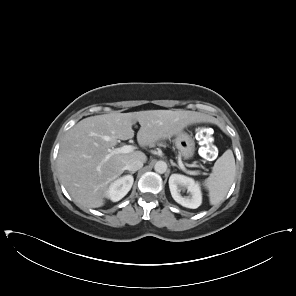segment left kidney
Segmentation results:
<instances>
[{
    "instance_id": "left-kidney-1",
    "label": "left kidney",
    "mask_w": 296,
    "mask_h": 296,
    "mask_svg": "<svg viewBox=\"0 0 296 296\" xmlns=\"http://www.w3.org/2000/svg\"><path fill=\"white\" fill-rule=\"evenodd\" d=\"M169 188L173 199L183 207L196 209L202 203L200 185L190 177L181 174H172L169 178ZM183 189H187L190 195L183 197L181 195Z\"/></svg>"
}]
</instances>
